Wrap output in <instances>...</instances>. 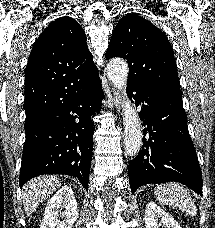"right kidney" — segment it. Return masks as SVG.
Returning a JSON list of instances; mask_svg holds the SVG:
<instances>
[{"mask_svg": "<svg viewBox=\"0 0 215 228\" xmlns=\"http://www.w3.org/2000/svg\"><path fill=\"white\" fill-rule=\"evenodd\" d=\"M78 216L79 210L72 188L62 186L49 200L40 228H73Z\"/></svg>", "mask_w": 215, "mask_h": 228, "instance_id": "right-kidney-1", "label": "right kidney"}]
</instances>
